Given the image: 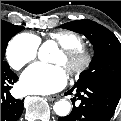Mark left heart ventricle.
I'll return each instance as SVG.
<instances>
[{"instance_id":"b2bd125f","label":"left heart ventricle","mask_w":121,"mask_h":121,"mask_svg":"<svg viewBox=\"0 0 121 121\" xmlns=\"http://www.w3.org/2000/svg\"><path fill=\"white\" fill-rule=\"evenodd\" d=\"M53 63L57 64V65H60L62 66L63 68H66L67 69V64L65 62V59L62 55L61 52H58L54 58H53Z\"/></svg>"}]
</instances>
